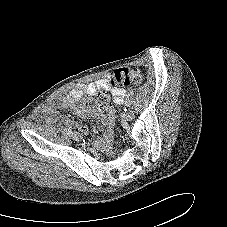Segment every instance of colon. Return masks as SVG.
<instances>
[{
	"label": "colon",
	"instance_id": "obj_1",
	"mask_svg": "<svg viewBox=\"0 0 227 227\" xmlns=\"http://www.w3.org/2000/svg\"><path fill=\"white\" fill-rule=\"evenodd\" d=\"M142 81V75L139 70H133L129 68H120L115 70L110 76L111 84L121 89V87L129 86L131 84H140ZM97 109L106 113L111 105V100L108 95L101 94L96 101Z\"/></svg>",
	"mask_w": 227,
	"mask_h": 227
}]
</instances>
